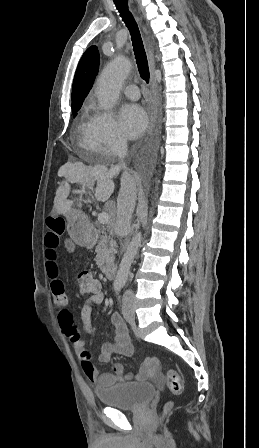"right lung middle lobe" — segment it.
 Returning <instances> with one entry per match:
<instances>
[{
  "instance_id": "right-lung-middle-lobe-1",
  "label": "right lung middle lobe",
  "mask_w": 259,
  "mask_h": 448,
  "mask_svg": "<svg viewBox=\"0 0 259 448\" xmlns=\"http://www.w3.org/2000/svg\"><path fill=\"white\" fill-rule=\"evenodd\" d=\"M79 110V108L77 109H73V114L76 115V112Z\"/></svg>"
}]
</instances>
